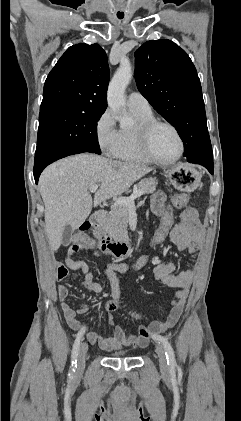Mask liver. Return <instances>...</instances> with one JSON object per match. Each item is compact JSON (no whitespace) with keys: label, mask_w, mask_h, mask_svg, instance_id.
I'll return each instance as SVG.
<instances>
[{"label":"liver","mask_w":241,"mask_h":421,"mask_svg":"<svg viewBox=\"0 0 241 421\" xmlns=\"http://www.w3.org/2000/svg\"><path fill=\"white\" fill-rule=\"evenodd\" d=\"M151 171L145 165L89 153L70 156L48 166L40 176L39 190L51 249L56 251L60 247L67 224L77 229L91 213L93 204L98 206L120 196ZM94 184L100 188L93 201L88 190Z\"/></svg>","instance_id":"obj_1"}]
</instances>
